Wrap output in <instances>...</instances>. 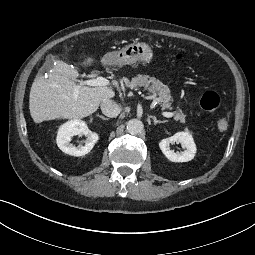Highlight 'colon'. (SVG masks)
Returning <instances> with one entry per match:
<instances>
[{"instance_id": "1", "label": "colon", "mask_w": 255, "mask_h": 255, "mask_svg": "<svg viewBox=\"0 0 255 255\" xmlns=\"http://www.w3.org/2000/svg\"><path fill=\"white\" fill-rule=\"evenodd\" d=\"M178 58L180 56H177ZM201 106L206 111L216 113L220 109V98L214 91H206L202 94L200 100ZM229 127V121L226 116L219 115L217 120V128L219 131L224 132Z\"/></svg>"}]
</instances>
